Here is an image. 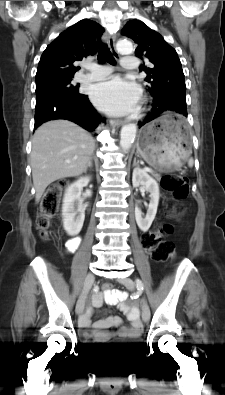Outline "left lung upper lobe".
<instances>
[{
	"mask_svg": "<svg viewBox=\"0 0 225 395\" xmlns=\"http://www.w3.org/2000/svg\"><path fill=\"white\" fill-rule=\"evenodd\" d=\"M122 35L138 44L135 50L137 57L151 63V67H146L143 63L140 70L147 73L145 81L150 84L152 96L185 98L184 73L176 50L159 33L138 20L127 22Z\"/></svg>",
	"mask_w": 225,
	"mask_h": 395,
	"instance_id": "left-lung-upper-lobe-1",
	"label": "left lung upper lobe"
}]
</instances>
